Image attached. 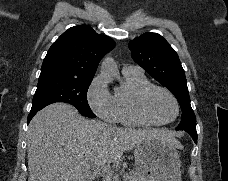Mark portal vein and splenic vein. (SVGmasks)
<instances>
[{
  "label": "portal vein and splenic vein",
  "instance_id": "obj_1",
  "mask_svg": "<svg viewBox=\"0 0 228 181\" xmlns=\"http://www.w3.org/2000/svg\"><path fill=\"white\" fill-rule=\"evenodd\" d=\"M99 171H100V169H98V171H95V175H99ZM102 171H103V173H106V175H108V177H110V175H112V171H110V169H107V167H102Z\"/></svg>",
  "mask_w": 228,
  "mask_h": 181
}]
</instances>
